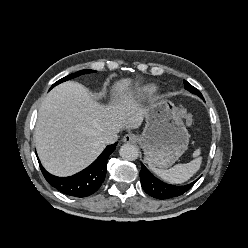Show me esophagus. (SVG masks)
Listing matches in <instances>:
<instances>
[{
    "label": "esophagus",
    "instance_id": "1",
    "mask_svg": "<svg viewBox=\"0 0 248 248\" xmlns=\"http://www.w3.org/2000/svg\"><path fill=\"white\" fill-rule=\"evenodd\" d=\"M123 142L125 143H135L137 138L134 134L128 133L123 137Z\"/></svg>",
    "mask_w": 248,
    "mask_h": 248
}]
</instances>
